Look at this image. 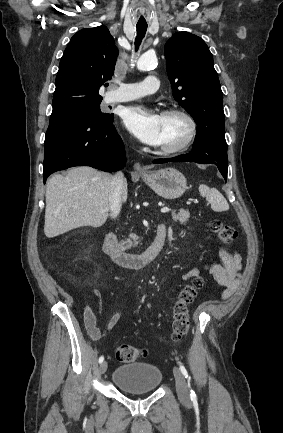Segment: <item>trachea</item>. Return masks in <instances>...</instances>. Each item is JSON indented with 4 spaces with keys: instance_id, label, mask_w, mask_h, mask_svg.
<instances>
[{
    "instance_id": "3493384b",
    "label": "trachea",
    "mask_w": 283,
    "mask_h": 433,
    "mask_svg": "<svg viewBox=\"0 0 283 433\" xmlns=\"http://www.w3.org/2000/svg\"><path fill=\"white\" fill-rule=\"evenodd\" d=\"M147 28H148V25H137L136 26V29H137V36L135 38V51L136 52L139 49L140 44L146 35Z\"/></svg>"
}]
</instances>
